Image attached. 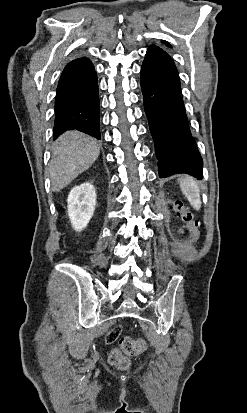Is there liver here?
<instances>
[{"instance_id": "obj_1", "label": "liver", "mask_w": 247, "mask_h": 413, "mask_svg": "<svg viewBox=\"0 0 247 413\" xmlns=\"http://www.w3.org/2000/svg\"><path fill=\"white\" fill-rule=\"evenodd\" d=\"M100 144L96 138L79 130H67L52 146L49 164L52 190H61L98 158Z\"/></svg>"}]
</instances>
